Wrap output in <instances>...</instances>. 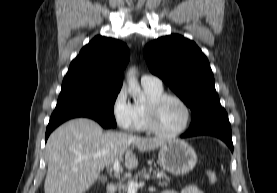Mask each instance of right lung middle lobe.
Listing matches in <instances>:
<instances>
[{"label": "right lung middle lobe", "instance_id": "obj_1", "mask_svg": "<svg viewBox=\"0 0 277 193\" xmlns=\"http://www.w3.org/2000/svg\"><path fill=\"white\" fill-rule=\"evenodd\" d=\"M119 91L94 87L61 90L54 112L85 113L115 127L114 103Z\"/></svg>", "mask_w": 277, "mask_h": 193}]
</instances>
